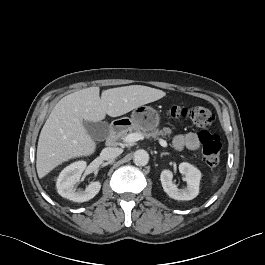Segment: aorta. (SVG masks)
I'll list each match as a JSON object with an SVG mask.
<instances>
[{
  "label": "aorta",
  "mask_w": 265,
  "mask_h": 265,
  "mask_svg": "<svg viewBox=\"0 0 265 265\" xmlns=\"http://www.w3.org/2000/svg\"><path fill=\"white\" fill-rule=\"evenodd\" d=\"M133 161L137 166L147 165L149 162L148 152L143 149L135 151Z\"/></svg>",
  "instance_id": "obj_1"
}]
</instances>
